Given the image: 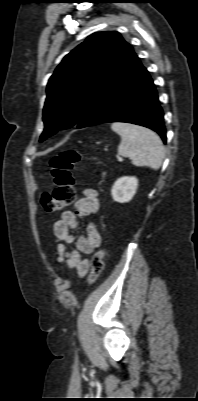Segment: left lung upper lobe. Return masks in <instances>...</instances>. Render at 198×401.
Returning <instances> with one entry per match:
<instances>
[{
	"mask_svg": "<svg viewBox=\"0 0 198 401\" xmlns=\"http://www.w3.org/2000/svg\"><path fill=\"white\" fill-rule=\"evenodd\" d=\"M133 52L115 31L97 32L58 65L47 84L40 141L76 125L92 100Z\"/></svg>",
	"mask_w": 198,
	"mask_h": 401,
	"instance_id": "left-lung-upper-lobe-1",
	"label": "left lung upper lobe"
}]
</instances>
